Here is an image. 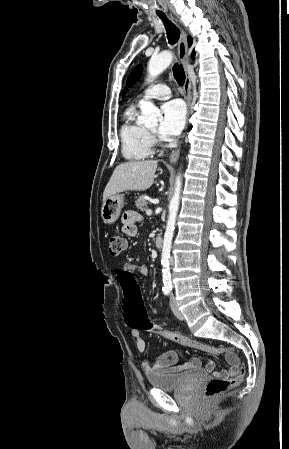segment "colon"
<instances>
[{"instance_id": "obj_1", "label": "colon", "mask_w": 289, "mask_h": 449, "mask_svg": "<svg viewBox=\"0 0 289 449\" xmlns=\"http://www.w3.org/2000/svg\"><path fill=\"white\" fill-rule=\"evenodd\" d=\"M127 247V241L119 234L109 237V252L113 256L120 255ZM118 284L123 291L122 304L126 310V323L132 330L139 332H152L176 342L185 343L188 347L195 348L210 354L220 355L224 352L218 348L189 339L181 334L165 329L154 324L147 316L142 297L137 290V279L128 268H121L117 272ZM244 367L240 365L238 372L230 377H224L214 373L205 386L204 393L207 398L216 397L228 389L238 385L244 376Z\"/></svg>"}]
</instances>
